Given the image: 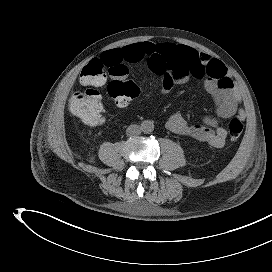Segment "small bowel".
I'll use <instances>...</instances> for the list:
<instances>
[{
	"label": "small bowel",
	"mask_w": 272,
	"mask_h": 272,
	"mask_svg": "<svg viewBox=\"0 0 272 272\" xmlns=\"http://www.w3.org/2000/svg\"><path fill=\"white\" fill-rule=\"evenodd\" d=\"M147 57L151 70L161 77V94L169 93L174 85L187 82L193 75L203 81L205 90L214 100L219 117L229 118L234 114L244 117V109L240 107L241 97L225 66L188 46L144 41L108 50L99 60L108 68L128 71L127 65L141 63ZM167 128L175 134L191 137L214 148H222L228 134L211 116H206L203 123L189 124L180 113H175L169 118Z\"/></svg>",
	"instance_id": "small-bowel-1"
}]
</instances>
